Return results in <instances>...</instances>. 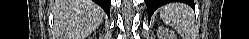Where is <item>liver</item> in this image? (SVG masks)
Returning a JSON list of instances; mask_svg holds the SVG:
<instances>
[{
	"label": "liver",
	"mask_w": 249,
	"mask_h": 39,
	"mask_svg": "<svg viewBox=\"0 0 249 39\" xmlns=\"http://www.w3.org/2000/svg\"><path fill=\"white\" fill-rule=\"evenodd\" d=\"M74 35L76 39L88 36L103 21L104 11L92 0H73Z\"/></svg>",
	"instance_id": "liver-1"
}]
</instances>
